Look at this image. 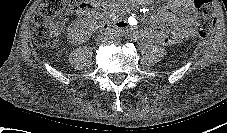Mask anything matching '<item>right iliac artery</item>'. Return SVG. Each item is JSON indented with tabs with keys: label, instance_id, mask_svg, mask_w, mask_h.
<instances>
[{
	"label": "right iliac artery",
	"instance_id": "1",
	"mask_svg": "<svg viewBox=\"0 0 227 133\" xmlns=\"http://www.w3.org/2000/svg\"><path fill=\"white\" fill-rule=\"evenodd\" d=\"M105 33L108 34V35H109V34H110V35H113V34H114L113 32H112V33H111V32H105Z\"/></svg>",
	"mask_w": 227,
	"mask_h": 133
}]
</instances>
